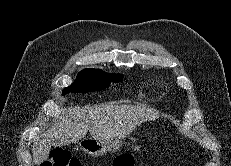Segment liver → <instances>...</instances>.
Returning <instances> with one entry per match:
<instances>
[{"mask_svg":"<svg viewBox=\"0 0 231 166\" xmlns=\"http://www.w3.org/2000/svg\"><path fill=\"white\" fill-rule=\"evenodd\" d=\"M159 113L144 105L102 104L92 107H69L54 125L41 133L32 146L33 161L40 165L47 160L52 146L78 142L87 132L99 141H118L143 122L152 121Z\"/></svg>","mask_w":231,"mask_h":166,"instance_id":"obj_1","label":"liver"}]
</instances>
